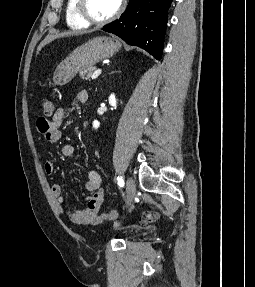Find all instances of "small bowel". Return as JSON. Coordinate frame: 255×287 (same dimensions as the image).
<instances>
[{"label":"small bowel","instance_id":"1","mask_svg":"<svg viewBox=\"0 0 255 287\" xmlns=\"http://www.w3.org/2000/svg\"><path fill=\"white\" fill-rule=\"evenodd\" d=\"M88 95L86 92L77 94V101L84 103L87 101ZM66 110L58 108L51 120L40 117L37 120V130L43 135L45 140L51 144L57 143L62 137L61 125L63 123ZM74 146L65 144L61 148V155L63 157H71L74 154ZM44 170L47 174L51 175L55 171V164L52 160H48L44 164ZM86 189L90 195L86 198V204L79 210H66L65 197L62 193L60 185L55 184L51 188V193L56 203L57 209L61 215H66L68 218L79 225H98L104 221L100 214L101 206L104 202L105 193L102 187V178L99 172L90 170L87 174ZM159 219V213L155 211L143 213L139 221L143 225L153 223Z\"/></svg>","mask_w":255,"mask_h":287}]
</instances>
